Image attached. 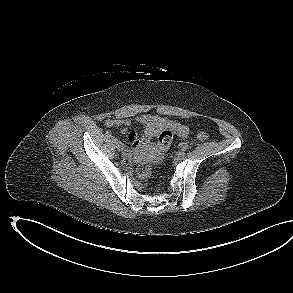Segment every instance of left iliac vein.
<instances>
[{"instance_id":"obj_1","label":"left iliac vein","mask_w":293,"mask_h":293,"mask_svg":"<svg viewBox=\"0 0 293 293\" xmlns=\"http://www.w3.org/2000/svg\"><path fill=\"white\" fill-rule=\"evenodd\" d=\"M177 157H178L179 159H183V158L185 157V152H184V151H179V152L177 153Z\"/></svg>"}]
</instances>
